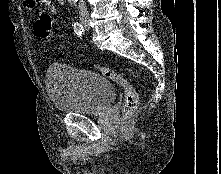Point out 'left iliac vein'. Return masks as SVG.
Here are the masks:
<instances>
[{"instance_id": "left-iliac-vein-1", "label": "left iliac vein", "mask_w": 221, "mask_h": 174, "mask_svg": "<svg viewBox=\"0 0 221 174\" xmlns=\"http://www.w3.org/2000/svg\"><path fill=\"white\" fill-rule=\"evenodd\" d=\"M83 26H84L85 30H89V24H88L87 20H85V22L83 23Z\"/></svg>"}]
</instances>
